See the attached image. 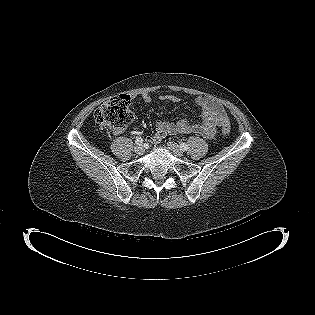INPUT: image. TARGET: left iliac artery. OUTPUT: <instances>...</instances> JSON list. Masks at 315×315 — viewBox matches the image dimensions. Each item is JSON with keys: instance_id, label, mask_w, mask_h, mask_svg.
I'll use <instances>...</instances> for the list:
<instances>
[{"instance_id": "44dca946", "label": "left iliac artery", "mask_w": 315, "mask_h": 315, "mask_svg": "<svg viewBox=\"0 0 315 315\" xmlns=\"http://www.w3.org/2000/svg\"><path fill=\"white\" fill-rule=\"evenodd\" d=\"M180 148L183 150V151H186L188 149V145L185 144V143H182Z\"/></svg>"}]
</instances>
